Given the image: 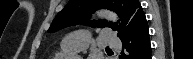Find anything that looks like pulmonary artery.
<instances>
[{"instance_id":"pulmonary-artery-1","label":"pulmonary artery","mask_w":193,"mask_h":59,"mask_svg":"<svg viewBox=\"0 0 193 59\" xmlns=\"http://www.w3.org/2000/svg\"><path fill=\"white\" fill-rule=\"evenodd\" d=\"M110 46H121L122 42L117 35H108L102 38ZM92 36L86 31L66 34L61 49L65 51H81L88 47Z\"/></svg>"}]
</instances>
